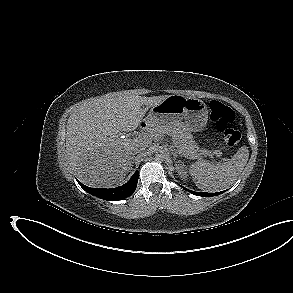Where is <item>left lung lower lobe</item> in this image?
Instances as JSON below:
<instances>
[{
    "label": "left lung lower lobe",
    "mask_w": 293,
    "mask_h": 293,
    "mask_svg": "<svg viewBox=\"0 0 293 293\" xmlns=\"http://www.w3.org/2000/svg\"><path fill=\"white\" fill-rule=\"evenodd\" d=\"M185 190L191 192L192 194H195V195H198V196H202V197H211V196H217L221 193H223L224 191H221V192H216V193H202V192H194V191H191V190H188L185 188Z\"/></svg>",
    "instance_id": "left-lung-lower-lobe-1"
}]
</instances>
